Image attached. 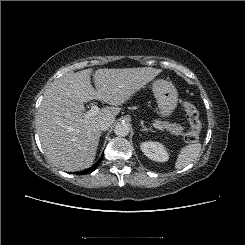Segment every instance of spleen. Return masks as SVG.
Returning a JSON list of instances; mask_svg holds the SVG:
<instances>
[{
  "label": "spleen",
  "instance_id": "obj_1",
  "mask_svg": "<svg viewBox=\"0 0 245 245\" xmlns=\"http://www.w3.org/2000/svg\"><path fill=\"white\" fill-rule=\"evenodd\" d=\"M201 147L200 143H194L181 148L175 162V168L182 169L196 160L200 154Z\"/></svg>",
  "mask_w": 245,
  "mask_h": 245
}]
</instances>
